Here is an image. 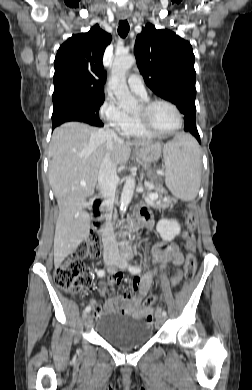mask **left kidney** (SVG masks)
I'll return each instance as SVG.
<instances>
[{"label":"left kidney","mask_w":252,"mask_h":390,"mask_svg":"<svg viewBox=\"0 0 252 390\" xmlns=\"http://www.w3.org/2000/svg\"><path fill=\"white\" fill-rule=\"evenodd\" d=\"M156 230L164 241H172L180 233L181 227L176 220L161 219Z\"/></svg>","instance_id":"1"}]
</instances>
